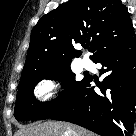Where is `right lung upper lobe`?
Listing matches in <instances>:
<instances>
[{
  "label": "right lung upper lobe",
  "instance_id": "right-lung-upper-lobe-1",
  "mask_svg": "<svg viewBox=\"0 0 136 136\" xmlns=\"http://www.w3.org/2000/svg\"><path fill=\"white\" fill-rule=\"evenodd\" d=\"M134 35L127 7L121 0H69L44 15L33 28L21 79L70 64L81 55L73 44L90 39L94 59L101 51Z\"/></svg>",
  "mask_w": 136,
  "mask_h": 136
}]
</instances>
